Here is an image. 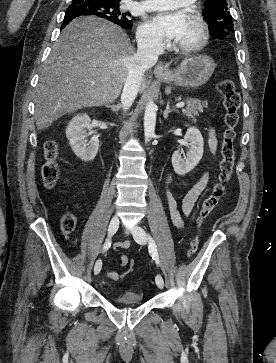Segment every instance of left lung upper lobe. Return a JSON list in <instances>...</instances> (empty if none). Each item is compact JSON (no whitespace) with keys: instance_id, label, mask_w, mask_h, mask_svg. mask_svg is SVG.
<instances>
[{"instance_id":"5c2ea615","label":"left lung upper lobe","mask_w":276,"mask_h":363,"mask_svg":"<svg viewBox=\"0 0 276 363\" xmlns=\"http://www.w3.org/2000/svg\"><path fill=\"white\" fill-rule=\"evenodd\" d=\"M203 15L209 25V33L215 38H224L234 32L233 20L226 0H207Z\"/></svg>"}]
</instances>
